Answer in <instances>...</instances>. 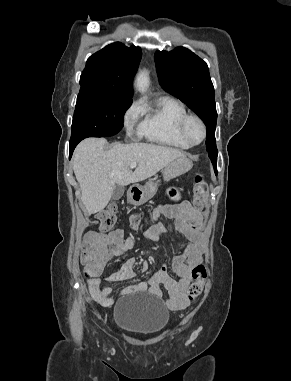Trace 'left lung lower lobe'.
<instances>
[{
	"label": "left lung lower lobe",
	"instance_id": "obj_1",
	"mask_svg": "<svg viewBox=\"0 0 291 381\" xmlns=\"http://www.w3.org/2000/svg\"><path fill=\"white\" fill-rule=\"evenodd\" d=\"M213 166H214L215 174H217L218 172L216 170V164H213Z\"/></svg>",
	"mask_w": 291,
	"mask_h": 381
}]
</instances>
